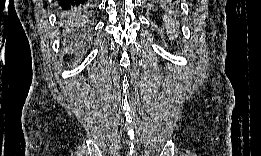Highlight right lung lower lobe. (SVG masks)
Segmentation results:
<instances>
[{
	"instance_id": "98d812e1",
	"label": "right lung lower lobe",
	"mask_w": 261,
	"mask_h": 156,
	"mask_svg": "<svg viewBox=\"0 0 261 156\" xmlns=\"http://www.w3.org/2000/svg\"><path fill=\"white\" fill-rule=\"evenodd\" d=\"M60 17L62 21L72 25H82L92 9L89 0H60Z\"/></svg>"
}]
</instances>
